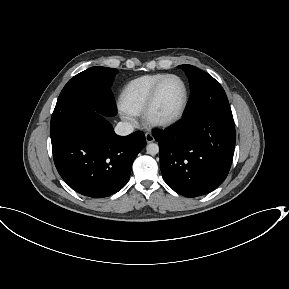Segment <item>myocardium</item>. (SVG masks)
Instances as JSON below:
<instances>
[{
	"label": "myocardium",
	"mask_w": 289,
	"mask_h": 289,
	"mask_svg": "<svg viewBox=\"0 0 289 289\" xmlns=\"http://www.w3.org/2000/svg\"><path fill=\"white\" fill-rule=\"evenodd\" d=\"M178 79L183 87H184V99H183V103L179 109V111L168 118H159L157 116H155L154 114V110H155V106H156V102L160 93V90L162 88V86L164 85V83L166 81H168L169 79ZM189 87L187 82L179 75L176 74H167L165 77H163L160 81L157 82V84L154 86V88L152 89L150 96L146 102V105L144 107V110L142 112V116L143 119L145 121V123L150 126V127H155V128H166V127H170L174 124H176L177 122H179L188 107L189 104Z\"/></svg>",
	"instance_id": "f54148a6"
}]
</instances>
